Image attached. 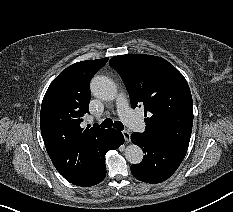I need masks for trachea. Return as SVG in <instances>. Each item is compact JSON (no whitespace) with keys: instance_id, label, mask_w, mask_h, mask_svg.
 <instances>
[{"instance_id":"3493384b","label":"trachea","mask_w":233,"mask_h":212,"mask_svg":"<svg viewBox=\"0 0 233 212\" xmlns=\"http://www.w3.org/2000/svg\"><path fill=\"white\" fill-rule=\"evenodd\" d=\"M101 127L103 128H110V127H114L118 130H123L124 129V126L123 124L120 122V121H115L113 122L112 119L110 118H107L105 119L101 124H100Z\"/></svg>"}]
</instances>
